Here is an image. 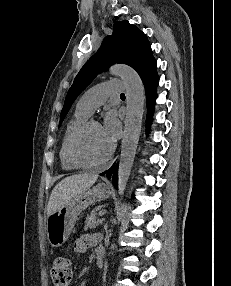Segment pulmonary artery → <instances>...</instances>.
<instances>
[{
	"label": "pulmonary artery",
	"instance_id": "1",
	"mask_svg": "<svg viewBox=\"0 0 231 286\" xmlns=\"http://www.w3.org/2000/svg\"><path fill=\"white\" fill-rule=\"evenodd\" d=\"M124 89V83L118 79L100 83L81 96L77 103V109L90 116L111 94L121 93Z\"/></svg>",
	"mask_w": 231,
	"mask_h": 286
}]
</instances>
